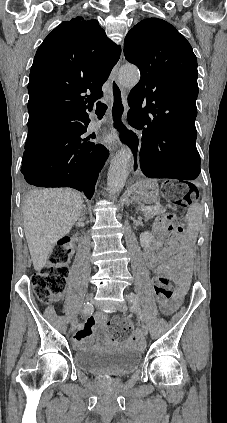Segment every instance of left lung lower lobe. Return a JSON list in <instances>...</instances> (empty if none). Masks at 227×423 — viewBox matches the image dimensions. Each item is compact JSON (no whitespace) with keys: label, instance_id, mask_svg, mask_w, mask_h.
<instances>
[{"label":"left lung lower lobe","instance_id":"1","mask_svg":"<svg viewBox=\"0 0 227 423\" xmlns=\"http://www.w3.org/2000/svg\"><path fill=\"white\" fill-rule=\"evenodd\" d=\"M195 118L179 112L129 110L128 122L142 130L140 169L144 175L179 180L198 177L200 156L195 144Z\"/></svg>","mask_w":227,"mask_h":423}]
</instances>
